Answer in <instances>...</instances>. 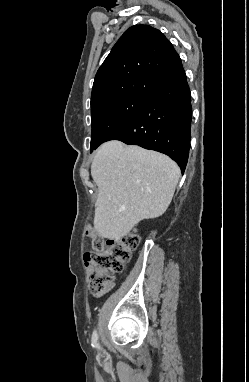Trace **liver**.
<instances>
[{
    "label": "liver",
    "mask_w": 249,
    "mask_h": 382,
    "mask_svg": "<svg viewBox=\"0 0 249 382\" xmlns=\"http://www.w3.org/2000/svg\"><path fill=\"white\" fill-rule=\"evenodd\" d=\"M91 175L98 186L94 228L102 238L119 239L164 214L180 169L164 154L114 140L96 151Z\"/></svg>",
    "instance_id": "6515ba94"
}]
</instances>
